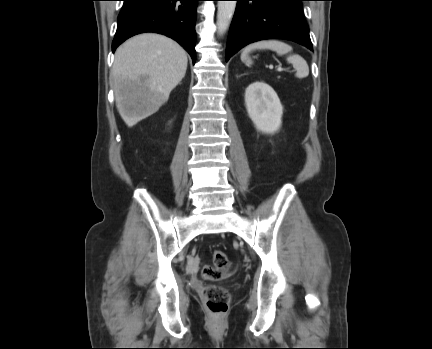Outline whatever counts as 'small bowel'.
Segmentation results:
<instances>
[{"instance_id":"small-bowel-1","label":"small bowel","mask_w":432,"mask_h":349,"mask_svg":"<svg viewBox=\"0 0 432 349\" xmlns=\"http://www.w3.org/2000/svg\"><path fill=\"white\" fill-rule=\"evenodd\" d=\"M231 273L232 271L230 269L219 270L210 266H205L203 268L204 277L211 280L228 277Z\"/></svg>"}]
</instances>
